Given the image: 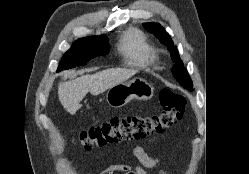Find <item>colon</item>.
I'll return each instance as SVG.
<instances>
[{
  "label": "colon",
  "mask_w": 249,
  "mask_h": 174,
  "mask_svg": "<svg viewBox=\"0 0 249 174\" xmlns=\"http://www.w3.org/2000/svg\"><path fill=\"white\" fill-rule=\"evenodd\" d=\"M159 99L161 109L157 113L113 117L81 132L75 142L85 149H90L94 146L164 134L174 128L182 118L186 99L167 88L160 92Z\"/></svg>",
  "instance_id": "1"
}]
</instances>
